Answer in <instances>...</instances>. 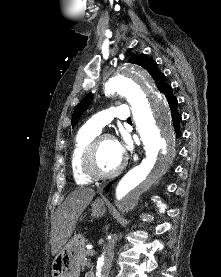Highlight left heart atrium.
Here are the masks:
<instances>
[{"mask_svg":"<svg viewBox=\"0 0 221 277\" xmlns=\"http://www.w3.org/2000/svg\"><path fill=\"white\" fill-rule=\"evenodd\" d=\"M116 143L120 154L124 157L129 150V143L127 141H120Z\"/></svg>","mask_w":221,"mask_h":277,"instance_id":"1","label":"left heart atrium"}]
</instances>
